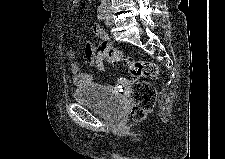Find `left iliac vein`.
<instances>
[{"label":"left iliac vein","instance_id":"obj_1","mask_svg":"<svg viewBox=\"0 0 225 159\" xmlns=\"http://www.w3.org/2000/svg\"><path fill=\"white\" fill-rule=\"evenodd\" d=\"M105 23H106L107 26H111L113 24V18H112L111 15L106 16Z\"/></svg>","mask_w":225,"mask_h":159}]
</instances>
